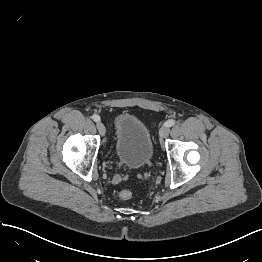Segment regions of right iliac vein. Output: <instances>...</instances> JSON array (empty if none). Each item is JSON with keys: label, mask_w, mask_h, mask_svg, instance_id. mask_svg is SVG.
Segmentation results:
<instances>
[{"label": "right iliac vein", "mask_w": 262, "mask_h": 262, "mask_svg": "<svg viewBox=\"0 0 262 262\" xmlns=\"http://www.w3.org/2000/svg\"><path fill=\"white\" fill-rule=\"evenodd\" d=\"M97 129H98L99 133H100L102 136L105 135L106 129H105V126H104V124H103L102 122H98V123H97Z\"/></svg>", "instance_id": "1"}]
</instances>
